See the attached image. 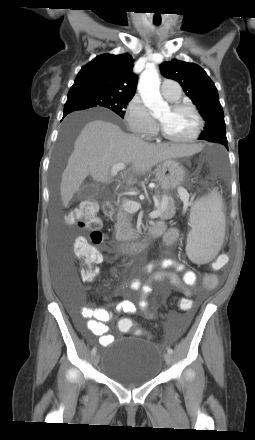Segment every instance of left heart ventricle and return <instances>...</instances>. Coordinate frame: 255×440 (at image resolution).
<instances>
[{"label":"left heart ventricle","instance_id":"left-heart-ventricle-1","mask_svg":"<svg viewBox=\"0 0 255 440\" xmlns=\"http://www.w3.org/2000/svg\"><path fill=\"white\" fill-rule=\"evenodd\" d=\"M165 131L174 138L186 139L193 135L197 120L192 112L186 109L173 111L168 108L158 117Z\"/></svg>","mask_w":255,"mask_h":440}]
</instances>
